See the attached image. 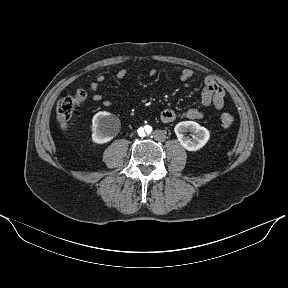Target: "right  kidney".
Returning <instances> with one entry per match:
<instances>
[{
  "mask_svg": "<svg viewBox=\"0 0 288 288\" xmlns=\"http://www.w3.org/2000/svg\"><path fill=\"white\" fill-rule=\"evenodd\" d=\"M116 118L108 112H98L92 119V140L97 144L109 142L116 134Z\"/></svg>",
  "mask_w": 288,
  "mask_h": 288,
  "instance_id": "ca27d5eb",
  "label": "right kidney"
}]
</instances>
